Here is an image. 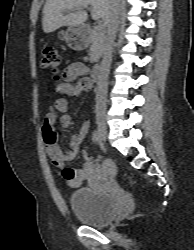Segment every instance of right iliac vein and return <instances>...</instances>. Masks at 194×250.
<instances>
[{
    "mask_svg": "<svg viewBox=\"0 0 194 250\" xmlns=\"http://www.w3.org/2000/svg\"><path fill=\"white\" fill-rule=\"evenodd\" d=\"M97 129H98V133H99L100 138L103 141H106V139H107V125H106L104 118L99 117L97 119Z\"/></svg>",
    "mask_w": 194,
    "mask_h": 250,
    "instance_id": "63e3f726",
    "label": "right iliac vein"
}]
</instances>
